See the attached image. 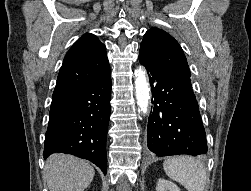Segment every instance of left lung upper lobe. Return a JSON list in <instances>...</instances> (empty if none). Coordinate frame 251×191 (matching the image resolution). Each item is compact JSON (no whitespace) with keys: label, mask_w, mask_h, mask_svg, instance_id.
Wrapping results in <instances>:
<instances>
[{"label":"left lung upper lobe","mask_w":251,"mask_h":191,"mask_svg":"<svg viewBox=\"0 0 251 191\" xmlns=\"http://www.w3.org/2000/svg\"><path fill=\"white\" fill-rule=\"evenodd\" d=\"M140 55L175 75L190 78L191 72L179 43L167 32L152 27L141 43Z\"/></svg>","instance_id":"left-lung-upper-lobe-1"}]
</instances>
